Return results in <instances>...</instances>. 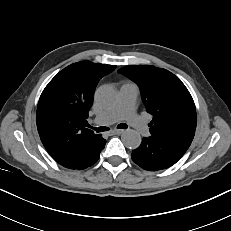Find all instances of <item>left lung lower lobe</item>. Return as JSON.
<instances>
[{"label":"left lung lower lobe","mask_w":231,"mask_h":231,"mask_svg":"<svg viewBox=\"0 0 231 231\" xmlns=\"http://www.w3.org/2000/svg\"><path fill=\"white\" fill-rule=\"evenodd\" d=\"M187 150L173 141L160 137H144L141 145L132 151V160L141 168L157 171L174 165Z\"/></svg>","instance_id":"0a47b994"}]
</instances>
